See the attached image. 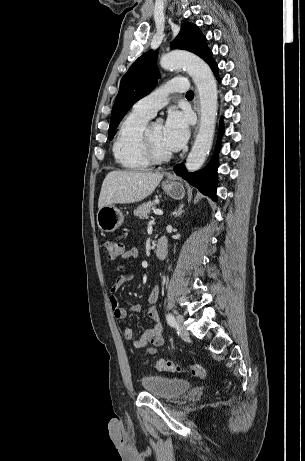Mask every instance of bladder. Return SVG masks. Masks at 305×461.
Here are the masks:
<instances>
[{
  "label": "bladder",
  "instance_id": "31cf9c89",
  "mask_svg": "<svg viewBox=\"0 0 305 461\" xmlns=\"http://www.w3.org/2000/svg\"><path fill=\"white\" fill-rule=\"evenodd\" d=\"M140 383L146 392L166 400L179 398L191 387V383L188 380L158 375L143 376Z\"/></svg>",
  "mask_w": 305,
  "mask_h": 461
}]
</instances>
